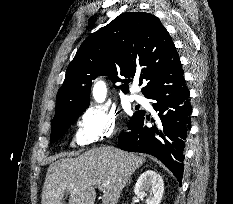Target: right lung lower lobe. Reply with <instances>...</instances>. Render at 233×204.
I'll return each mask as SVG.
<instances>
[{
  "mask_svg": "<svg viewBox=\"0 0 233 204\" xmlns=\"http://www.w3.org/2000/svg\"><path fill=\"white\" fill-rule=\"evenodd\" d=\"M144 96L153 100L152 106L159 112L157 126L147 127L149 117L144 111H138L130 119L128 131L120 133L118 146L125 151L155 156L180 182L192 112L181 63L173 64L154 80Z\"/></svg>",
  "mask_w": 233,
  "mask_h": 204,
  "instance_id": "obj_1",
  "label": "right lung lower lobe"
}]
</instances>
